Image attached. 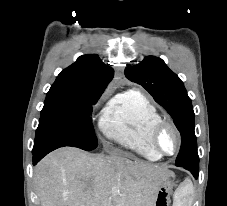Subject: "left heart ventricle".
I'll return each mask as SVG.
<instances>
[{
  "mask_svg": "<svg viewBox=\"0 0 227 206\" xmlns=\"http://www.w3.org/2000/svg\"><path fill=\"white\" fill-rule=\"evenodd\" d=\"M159 146L165 153H172L176 148V138L170 129H164L159 137Z\"/></svg>",
  "mask_w": 227,
  "mask_h": 206,
  "instance_id": "1",
  "label": "left heart ventricle"
}]
</instances>
